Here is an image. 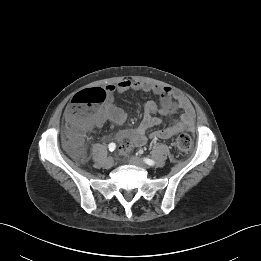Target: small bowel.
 Returning <instances> with one entry per match:
<instances>
[{
    "instance_id": "1",
    "label": "small bowel",
    "mask_w": 261,
    "mask_h": 261,
    "mask_svg": "<svg viewBox=\"0 0 261 261\" xmlns=\"http://www.w3.org/2000/svg\"><path fill=\"white\" fill-rule=\"evenodd\" d=\"M128 91L153 93L159 99L158 101L146 102L144 115L140 124L134 129L118 131L114 135L116 140H128L132 146L141 147L148 140L147 131L163 124V119L158 117L157 114L166 116L174 114L177 111H181V114L175 121L153 131L149 137L153 140L169 139L183 131H194V111L191 103L185 96L169 87L128 79L106 87V99L91 115L87 130L93 131L102 127L107 122H111L117 126L123 124L127 115L122 108L115 104L114 95Z\"/></svg>"
}]
</instances>
